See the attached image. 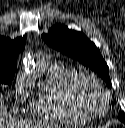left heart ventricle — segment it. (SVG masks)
Segmentation results:
<instances>
[{
  "label": "left heart ventricle",
  "instance_id": "b2bd125f",
  "mask_svg": "<svg viewBox=\"0 0 125 128\" xmlns=\"http://www.w3.org/2000/svg\"><path fill=\"white\" fill-rule=\"evenodd\" d=\"M81 95L86 105L92 111H100L103 106V97L101 93L92 85L86 84L81 89Z\"/></svg>",
  "mask_w": 125,
  "mask_h": 128
}]
</instances>
